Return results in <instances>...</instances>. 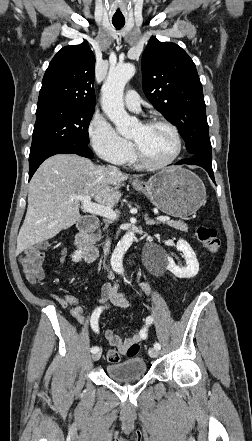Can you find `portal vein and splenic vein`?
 Here are the masks:
<instances>
[{
  "label": "portal vein and splenic vein",
  "instance_id": "1",
  "mask_svg": "<svg viewBox=\"0 0 252 441\" xmlns=\"http://www.w3.org/2000/svg\"><path fill=\"white\" fill-rule=\"evenodd\" d=\"M72 199L80 200L83 204V210L98 216H103L110 220H115L117 218L116 212L109 208L105 207L103 205L95 204L91 202L90 196H77L73 195L71 196ZM158 221L165 222L169 221L170 217L168 216H159L156 218Z\"/></svg>",
  "mask_w": 252,
  "mask_h": 441
}]
</instances>
